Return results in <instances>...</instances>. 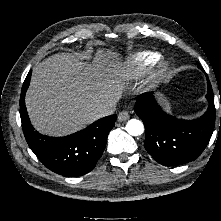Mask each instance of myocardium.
<instances>
[{"label": "myocardium", "instance_id": "obj_1", "mask_svg": "<svg viewBox=\"0 0 221 221\" xmlns=\"http://www.w3.org/2000/svg\"><path fill=\"white\" fill-rule=\"evenodd\" d=\"M170 70V63L166 60H161L155 70L154 80L159 81L163 79Z\"/></svg>", "mask_w": 221, "mask_h": 221}]
</instances>
